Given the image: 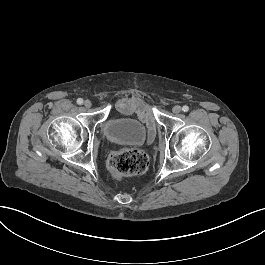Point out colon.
<instances>
[{
  "mask_svg": "<svg viewBox=\"0 0 265 265\" xmlns=\"http://www.w3.org/2000/svg\"><path fill=\"white\" fill-rule=\"evenodd\" d=\"M149 163L147 152L142 148H126L112 154L108 159V170L117 178L143 174Z\"/></svg>",
  "mask_w": 265,
  "mask_h": 265,
  "instance_id": "1",
  "label": "colon"
}]
</instances>
